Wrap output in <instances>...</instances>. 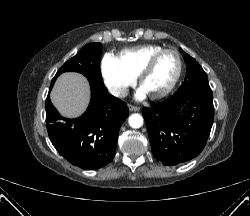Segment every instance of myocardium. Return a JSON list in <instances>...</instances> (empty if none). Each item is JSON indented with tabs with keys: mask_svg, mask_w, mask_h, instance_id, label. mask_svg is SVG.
<instances>
[{
	"mask_svg": "<svg viewBox=\"0 0 250 216\" xmlns=\"http://www.w3.org/2000/svg\"><path fill=\"white\" fill-rule=\"evenodd\" d=\"M166 53H171V54H174L176 56L178 68H177L176 74H175L173 80L171 81V83L169 84V86L165 90H163L161 93L150 96V98L153 100H159V99H162V98L166 97L167 95H169L173 91V89L176 87V85H177V83L182 75L183 61H182V57H181L180 53L175 49L163 48L162 50L154 53L149 58V60L146 62V64L143 66V68L141 69V71L138 75V82H139L140 86L142 85L145 77L152 70V68L155 65L158 58Z\"/></svg>",
	"mask_w": 250,
	"mask_h": 216,
	"instance_id": "1",
	"label": "myocardium"
}]
</instances>
